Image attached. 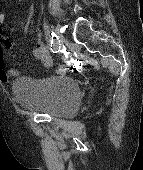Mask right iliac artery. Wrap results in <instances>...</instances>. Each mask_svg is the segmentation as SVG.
Instances as JSON below:
<instances>
[{
	"label": "right iliac artery",
	"instance_id": "1",
	"mask_svg": "<svg viewBox=\"0 0 143 170\" xmlns=\"http://www.w3.org/2000/svg\"><path fill=\"white\" fill-rule=\"evenodd\" d=\"M51 51L53 53H58L60 51V40L54 32L51 33ZM55 37V38H54Z\"/></svg>",
	"mask_w": 143,
	"mask_h": 170
}]
</instances>
